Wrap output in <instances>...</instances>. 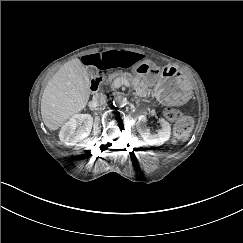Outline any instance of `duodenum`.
Here are the masks:
<instances>
[{"instance_id":"1","label":"duodenum","mask_w":243,"mask_h":243,"mask_svg":"<svg viewBox=\"0 0 243 243\" xmlns=\"http://www.w3.org/2000/svg\"><path fill=\"white\" fill-rule=\"evenodd\" d=\"M102 77L100 75L95 76L90 82V89L95 91L98 89Z\"/></svg>"}]
</instances>
